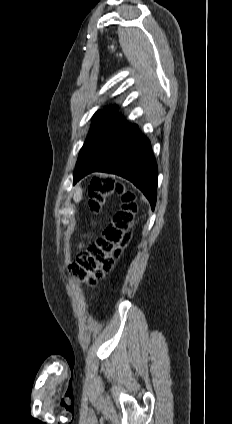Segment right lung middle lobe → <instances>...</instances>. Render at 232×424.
<instances>
[{
    "label": "right lung middle lobe",
    "mask_w": 232,
    "mask_h": 424,
    "mask_svg": "<svg viewBox=\"0 0 232 424\" xmlns=\"http://www.w3.org/2000/svg\"><path fill=\"white\" fill-rule=\"evenodd\" d=\"M125 124L124 118L119 117L116 113L109 111H98L95 113L94 122L77 160L74 177L81 174L107 139Z\"/></svg>",
    "instance_id": "1"
}]
</instances>
